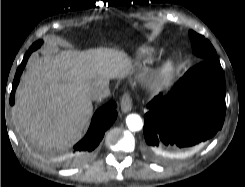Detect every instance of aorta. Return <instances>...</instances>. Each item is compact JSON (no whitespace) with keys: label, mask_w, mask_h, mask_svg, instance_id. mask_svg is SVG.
<instances>
[{"label":"aorta","mask_w":245,"mask_h":187,"mask_svg":"<svg viewBox=\"0 0 245 187\" xmlns=\"http://www.w3.org/2000/svg\"><path fill=\"white\" fill-rule=\"evenodd\" d=\"M127 127L131 131H139L143 128V121L138 114H130L126 118Z\"/></svg>","instance_id":"obj_1"}]
</instances>
